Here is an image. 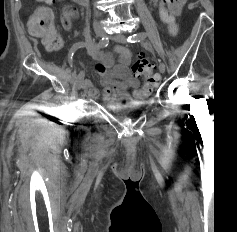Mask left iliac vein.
<instances>
[{"mask_svg": "<svg viewBox=\"0 0 237 232\" xmlns=\"http://www.w3.org/2000/svg\"><path fill=\"white\" fill-rule=\"evenodd\" d=\"M110 38L118 43H126V37L123 34H112ZM165 69H166L165 64L161 62L159 64V71L161 73H164Z\"/></svg>", "mask_w": 237, "mask_h": 232, "instance_id": "4c4485c4", "label": "left iliac vein"}]
</instances>
